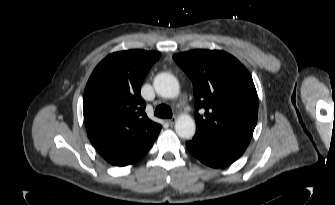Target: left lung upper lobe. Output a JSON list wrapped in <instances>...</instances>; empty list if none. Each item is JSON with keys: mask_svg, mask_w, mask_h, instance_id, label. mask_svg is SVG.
<instances>
[{"mask_svg": "<svg viewBox=\"0 0 335 205\" xmlns=\"http://www.w3.org/2000/svg\"><path fill=\"white\" fill-rule=\"evenodd\" d=\"M193 81L196 134L247 147L257 123L258 96L248 70L219 50H192L173 56Z\"/></svg>", "mask_w": 335, "mask_h": 205, "instance_id": "5c2ea615", "label": "left lung upper lobe"}]
</instances>
